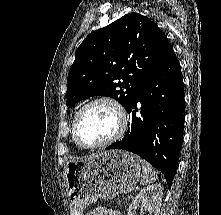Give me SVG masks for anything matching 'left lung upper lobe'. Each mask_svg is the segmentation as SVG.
<instances>
[{
  "mask_svg": "<svg viewBox=\"0 0 221 215\" xmlns=\"http://www.w3.org/2000/svg\"><path fill=\"white\" fill-rule=\"evenodd\" d=\"M170 47L160 28L138 13L92 32L76 50L67 78V106L101 95L116 99L128 110Z\"/></svg>",
  "mask_w": 221,
  "mask_h": 215,
  "instance_id": "5c2ea615",
  "label": "left lung upper lobe"
}]
</instances>
